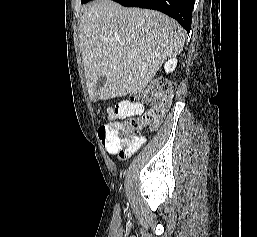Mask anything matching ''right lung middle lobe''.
Returning <instances> with one entry per match:
<instances>
[{
  "mask_svg": "<svg viewBox=\"0 0 257 237\" xmlns=\"http://www.w3.org/2000/svg\"><path fill=\"white\" fill-rule=\"evenodd\" d=\"M89 1H91V0H81V3L83 4V3H86V2H89Z\"/></svg>",
  "mask_w": 257,
  "mask_h": 237,
  "instance_id": "dd1d6c3e",
  "label": "right lung middle lobe"
}]
</instances>
